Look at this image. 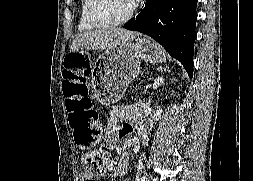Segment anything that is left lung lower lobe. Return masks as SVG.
Returning a JSON list of instances; mask_svg holds the SVG:
<instances>
[{"label":"left lung lower lobe","mask_w":253,"mask_h":181,"mask_svg":"<svg viewBox=\"0 0 253 181\" xmlns=\"http://www.w3.org/2000/svg\"><path fill=\"white\" fill-rule=\"evenodd\" d=\"M197 0H146L124 28L139 31L160 43L193 77Z\"/></svg>","instance_id":"0a47b994"}]
</instances>
